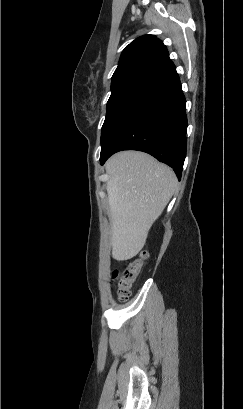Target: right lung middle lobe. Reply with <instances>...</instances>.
Instances as JSON below:
<instances>
[{
	"instance_id": "right-lung-middle-lobe-1",
	"label": "right lung middle lobe",
	"mask_w": 243,
	"mask_h": 409,
	"mask_svg": "<svg viewBox=\"0 0 243 409\" xmlns=\"http://www.w3.org/2000/svg\"><path fill=\"white\" fill-rule=\"evenodd\" d=\"M161 81L151 77H135L111 85L112 93L101 131V151L122 122Z\"/></svg>"
}]
</instances>
